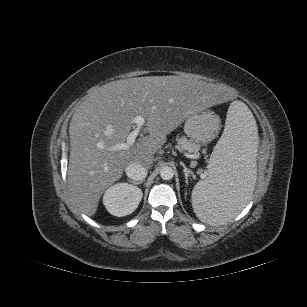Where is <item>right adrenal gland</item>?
Listing matches in <instances>:
<instances>
[{
	"label": "right adrenal gland",
	"instance_id": "right-adrenal-gland-1",
	"mask_svg": "<svg viewBox=\"0 0 307 307\" xmlns=\"http://www.w3.org/2000/svg\"><path fill=\"white\" fill-rule=\"evenodd\" d=\"M130 183L132 184H135V185H140L143 183V180L142 181H139V182H136V181H132V180H128Z\"/></svg>",
	"mask_w": 307,
	"mask_h": 307
}]
</instances>
